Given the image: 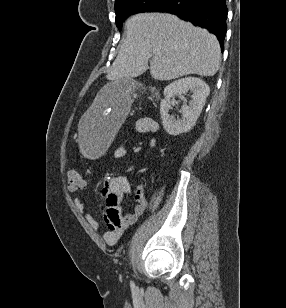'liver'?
I'll list each match as a JSON object with an SVG mask.
<instances>
[{"mask_svg": "<svg viewBox=\"0 0 286 308\" xmlns=\"http://www.w3.org/2000/svg\"><path fill=\"white\" fill-rule=\"evenodd\" d=\"M125 27L126 37L108 80L131 79L147 69L160 81L189 74L213 76L219 69L217 38L174 15L141 13L128 19Z\"/></svg>", "mask_w": 286, "mask_h": 308, "instance_id": "liver-1", "label": "liver"}]
</instances>
